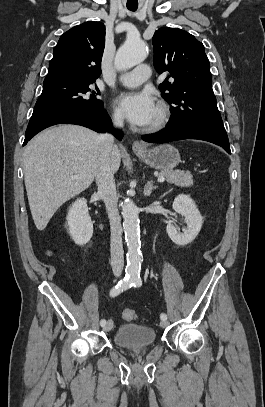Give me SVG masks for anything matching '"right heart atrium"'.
Returning a JSON list of instances; mask_svg holds the SVG:
<instances>
[{"instance_id": "obj_1", "label": "right heart atrium", "mask_w": 265, "mask_h": 407, "mask_svg": "<svg viewBox=\"0 0 265 407\" xmlns=\"http://www.w3.org/2000/svg\"><path fill=\"white\" fill-rule=\"evenodd\" d=\"M112 123L116 126H121L123 124V118L118 111H114L111 116Z\"/></svg>"}]
</instances>
